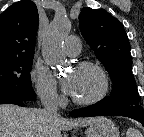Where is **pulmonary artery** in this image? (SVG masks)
Listing matches in <instances>:
<instances>
[{
	"mask_svg": "<svg viewBox=\"0 0 144 137\" xmlns=\"http://www.w3.org/2000/svg\"><path fill=\"white\" fill-rule=\"evenodd\" d=\"M64 51L69 56H76L81 50V41L78 37L70 35L65 39Z\"/></svg>",
	"mask_w": 144,
	"mask_h": 137,
	"instance_id": "e3ab8cb5",
	"label": "pulmonary artery"
}]
</instances>
